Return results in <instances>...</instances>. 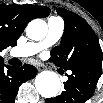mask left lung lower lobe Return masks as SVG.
I'll return each mask as SVG.
<instances>
[{"label": "left lung lower lobe", "mask_w": 103, "mask_h": 103, "mask_svg": "<svg viewBox=\"0 0 103 103\" xmlns=\"http://www.w3.org/2000/svg\"><path fill=\"white\" fill-rule=\"evenodd\" d=\"M103 59L93 58L72 67L62 93L46 103H85L93 94L101 76Z\"/></svg>", "instance_id": "1"}]
</instances>
